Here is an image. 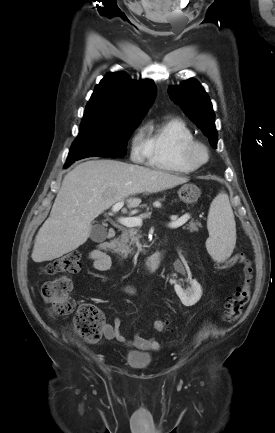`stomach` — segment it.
Listing matches in <instances>:
<instances>
[{"instance_id":"0dacf381","label":"stomach","mask_w":275,"mask_h":433,"mask_svg":"<svg viewBox=\"0 0 275 433\" xmlns=\"http://www.w3.org/2000/svg\"><path fill=\"white\" fill-rule=\"evenodd\" d=\"M200 195V189L194 184H185L178 190L180 200L188 204L195 203Z\"/></svg>"}]
</instances>
